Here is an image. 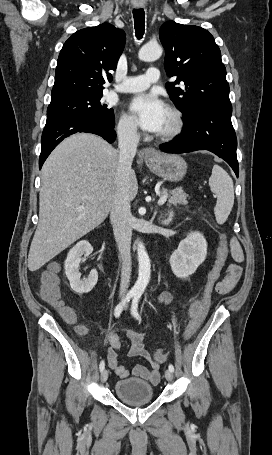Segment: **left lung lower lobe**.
<instances>
[{"label": "left lung lower lobe", "mask_w": 272, "mask_h": 455, "mask_svg": "<svg viewBox=\"0 0 272 455\" xmlns=\"http://www.w3.org/2000/svg\"><path fill=\"white\" fill-rule=\"evenodd\" d=\"M231 114V105H213L200 109L184 120L182 133L171 142L162 145L160 150L166 153L211 151L224 159L238 177L237 138Z\"/></svg>", "instance_id": "left-lung-lower-lobe-1"}]
</instances>
